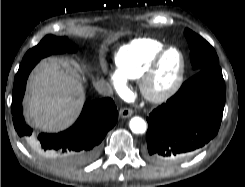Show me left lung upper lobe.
<instances>
[{"label": "left lung upper lobe", "instance_id": "1", "mask_svg": "<svg viewBox=\"0 0 245 187\" xmlns=\"http://www.w3.org/2000/svg\"><path fill=\"white\" fill-rule=\"evenodd\" d=\"M184 34L191 50L190 58L193 69L200 71L218 64L219 59L214 48L205 39L189 29H186Z\"/></svg>", "mask_w": 245, "mask_h": 187}]
</instances>
